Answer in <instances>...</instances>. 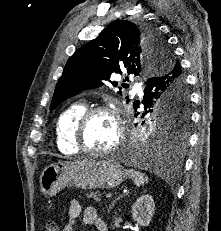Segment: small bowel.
<instances>
[{
    "label": "small bowel",
    "mask_w": 221,
    "mask_h": 231,
    "mask_svg": "<svg viewBox=\"0 0 221 231\" xmlns=\"http://www.w3.org/2000/svg\"><path fill=\"white\" fill-rule=\"evenodd\" d=\"M82 212L81 203L77 199L70 201L68 207V223L64 226L62 231H74L77 219ZM85 224L93 227L96 231H107V225L104 220H102L95 208L89 207L84 213Z\"/></svg>",
    "instance_id": "small-bowel-1"
}]
</instances>
